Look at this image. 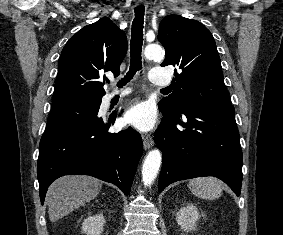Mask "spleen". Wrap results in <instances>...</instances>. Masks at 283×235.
<instances>
[{
	"mask_svg": "<svg viewBox=\"0 0 283 235\" xmlns=\"http://www.w3.org/2000/svg\"><path fill=\"white\" fill-rule=\"evenodd\" d=\"M188 187L195 196L206 200H214L222 194V182L214 177L192 179Z\"/></svg>",
	"mask_w": 283,
	"mask_h": 235,
	"instance_id": "obj_1",
	"label": "spleen"
}]
</instances>
